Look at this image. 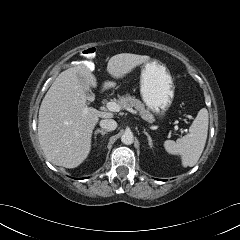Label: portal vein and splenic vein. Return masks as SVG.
<instances>
[{
    "label": "portal vein and splenic vein",
    "mask_w": 240,
    "mask_h": 240,
    "mask_svg": "<svg viewBox=\"0 0 240 240\" xmlns=\"http://www.w3.org/2000/svg\"><path fill=\"white\" fill-rule=\"evenodd\" d=\"M106 107H107L108 110H110V111H112V112H119V111L121 110V108H122L118 103L112 102V101H111V102H108V103L106 104ZM127 110H128L129 112L136 113V111L133 110L132 108H127ZM176 129H178V127H177ZM181 132H183L182 129H181Z\"/></svg>",
    "instance_id": "obj_1"
}]
</instances>
